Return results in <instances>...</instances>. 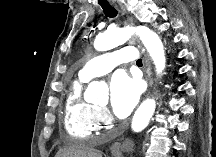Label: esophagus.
Listing matches in <instances>:
<instances>
[{
	"label": "esophagus",
	"mask_w": 216,
	"mask_h": 157,
	"mask_svg": "<svg viewBox=\"0 0 216 157\" xmlns=\"http://www.w3.org/2000/svg\"><path fill=\"white\" fill-rule=\"evenodd\" d=\"M111 5H113L122 15H124L126 13V10L123 6V4L121 2H119L118 0H110ZM144 65H145V78L146 81H149V77H150V73H151V69L149 66V59L147 56H145V61H144ZM111 151H119L120 150V143L116 142L114 144L111 145L110 147Z\"/></svg>",
	"instance_id": "1"
}]
</instances>
